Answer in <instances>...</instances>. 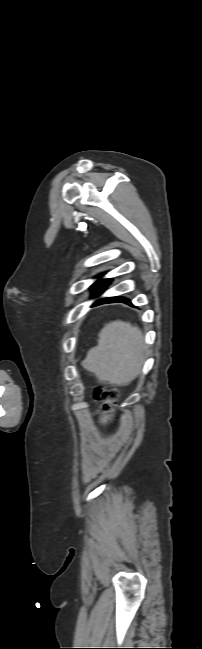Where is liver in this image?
Returning a JSON list of instances; mask_svg holds the SVG:
<instances>
[{"instance_id":"obj_1","label":"liver","mask_w":202,"mask_h":649,"mask_svg":"<svg viewBox=\"0 0 202 649\" xmlns=\"http://www.w3.org/2000/svg\"><path fill=\"white\" fill-rule=\"evenodd\" d=\"M98 337V345L82 361L83 368L102 382L128 385L144 362L146 345L142 331L129 322L113 321L105 324Z\"/></svg>"}]
</instances>
